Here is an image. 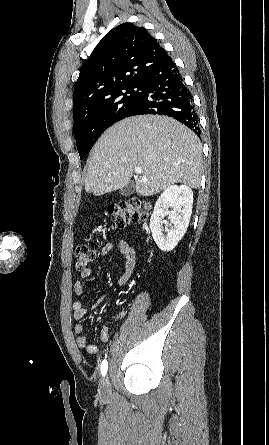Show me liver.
<instances>
[{"mask_svg":"<svg viewBox=\"0 0 269 445\" xmlns=\"http://www.w3.org/2000/svg\"><path fill=\"white\" fill-rule=\"evenodd\" d=\"M202 145L178 121L159 115L133 116L108 128L87 162L85 190L94 196L122 189L142 168L136 192L152 196L174 183L200 185Z\"/></svg>","mask_w":269,"mask_h":445,"instance_id":"liver-1","label":"liver"}]
</instances>
